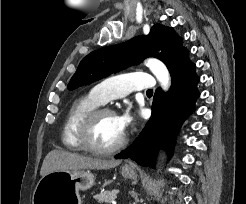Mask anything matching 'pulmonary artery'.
Segmentation results:
<instances>
[{
	"mask_svg": "<svg viewBox=\"0 0 246 204\" xmlns=\"http://www.w3.org/2000/svg\"><path fill=\"white\" fill-rule=\"evenodd\" d=\"M155 86L154 78L145 72H131L116 75L97 84L91 94L99 103L128 95L135 90H148Z\"/></svg>",
	"mask_w": 246,
	"mask_h": 204,
	"instance_id": "1",
	"label": "pulmonary artery"
}]
</instances>
